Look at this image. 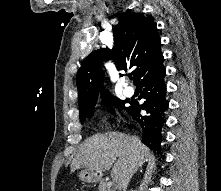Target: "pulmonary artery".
<instances>
[{
    "label": "pulmonary artery",
    "mask_w": 221,
    "mask_h": 191,
    "mask_svg": "<svg viewBox=\"0 0 221 191\" xmlns=\"http://www.w3.org/2000/svg\"><path fill=\"white\" fill-rule=\"evenodd\" d=\"M124 95L128 98L132 97L134 95V88L126 85L124 88Z\"/></svg>",
    "instance_id": "1"
}]
</instances>
